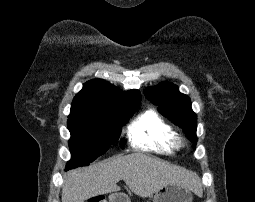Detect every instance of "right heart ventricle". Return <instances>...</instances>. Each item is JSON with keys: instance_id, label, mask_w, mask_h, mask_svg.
<instances>
[{"instance_id": "1", "label": "right heart ventricle", "mask_w": 255, "mask_h": 202, "mask_svg": "<svg viewBox=\"0 0 255 202\" xmlns=\"http://www.w3.org/2000/svg\"><path fill=\"white\" fill-rule=\"evenodd\" d=\"M131 144L157 153L171 154L176 150V132L155 110L139 114L128 127Z\"/></svg>"}]
</instances>
